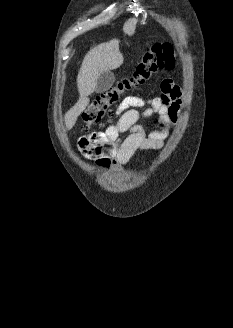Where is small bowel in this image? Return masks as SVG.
I'll return each instance as SVG.
<instances>
[{"label":"small bowel","instance_id":"obj_1","mask_svg":"<svg viewBox=\"0 0 233 328\" xmlns=\"http://www.w3.org/2000/svg\"><path fill=\"white\" fill-rule=\"evenodd\" d=\"M181 105L180 87L165 79L160 96L148 99L126 97L116 110L115 122L102 131H92L81 137L78 148L90 157L107 158L114 170L120 172L138 152L163 146V136L155 132L146 134L139 121L154 114L164 121H174Z\"/></svg>","mask_w":233,"mask_h":328}]
</instances>
